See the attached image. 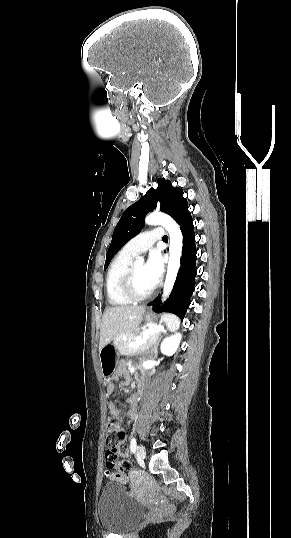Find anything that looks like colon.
<instances>
[{
    "mask_svg": "<svg viewBox=\"0 0 291 538\" xmlns=\"http://www.w3.org/2000/svg\"><path fill=\"white\" fill-rule=\"evenodd\" d=\"M123 438L124 430L119 419L115 416L110 417L106 430V465L113 472L108 473V476L110 479L127 483L132 473L131 465L118 458V445Z\"/></svg>",
    "mask_w": 291,
    "mask_h": 538,
    "instance_id": "colon-1",
    "label": "colon"
}]
</instances>
